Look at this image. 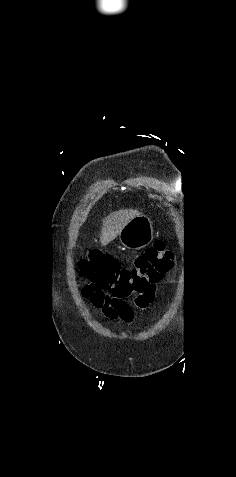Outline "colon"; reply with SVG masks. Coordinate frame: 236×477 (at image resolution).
Here are the masks:
<instances>
[{"label":"colon","instance_id":"5ec220e1","mask_svg":"<svg viewBox=\"0 0 236 477\" xmlns=\"http://www.w3.org/2000/svg\"><path fill=\"white\" fill-rule=\"evenodd\" d=\"M171 253L158 241L139 256L133 267L123 266L116 258L98 251L90 252L79 263L80 276L87 280L86 297L97 308L109 304L121 314L131 309L144 295L155 291L170 268Z\"/></svg>","mask_w":236,"mask_h":477}]
</instances>
